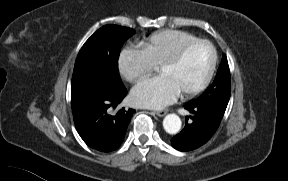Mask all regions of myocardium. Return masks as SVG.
<instances>
[{
  "label": "myocardium",
  "instance_id": "obj_1",
  "mask_svg": "<svg viewBox=\"0 0 288 181\" xmlns=\"http://www.w3.org/2000/svg\"><path fill=\"white\" fill-rule=\"evenodd\" d=\"M200 44H206L212 49L213 61H212L211 67L206 77L203 79V81L200 84H198L197 86L191 89L181 92L182 97H189V96L197 95L201 93L203 90H205L207 86L210 84L215 74V71L218 65V60H219L218 50L216 46L209 40L197 39L188 44H185L179 50H177L172 56L166 58L158 65V69L161 67H168V66L176 65L183 59V57L187 54L189 50H191L192 48Z\"/></svg>",
  "mask_w": 288,
  "mask_h": 181
}]
</instances>
